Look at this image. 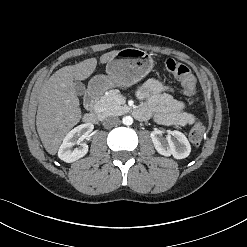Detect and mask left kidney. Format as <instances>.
Returning a JSON list of instances; mask_svg holds the SVG:
<instances>
[{"instance_id": "5707ae66", "label": "left kidney", "mask_w": 247, "mask_h": 247, "mask_svg": "<svg viewBox=\"0 0 247 247\" xmlns=\"http://www.w3.org/2000/svg\"><path fill=\"white\" fill-rule=\"evenodd\" d=\"M150 136L156 151L163 156L172 155L175 159H184L188 157L191 152L188 139L179 131H171L167 137L164 138L161 130H154Z\"/></svg>"}]
</instances>
